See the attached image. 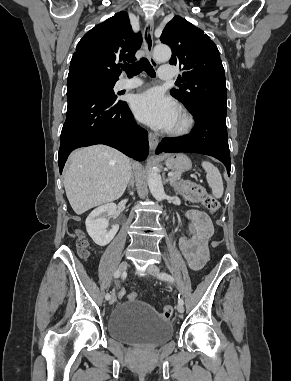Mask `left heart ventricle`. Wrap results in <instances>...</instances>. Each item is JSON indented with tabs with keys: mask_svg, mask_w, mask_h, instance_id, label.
<instances>
[{
	"mask_svg": "<svg viewBox=\"0 0 291 381\" xmlns=\"http://www.w3.org/2000/svg\"><path fill=\"white\" fill-rule=\"evenodd\" d=\"M178 122H179V116L177 117L176 122H175V124L173 125V127L176 126V125L178 124Z\"/></svg>",
	"mask_w": 291,
	"mask_h": 381,
	"instance_id": "1",
	"label": "left heart ventricle"
}]
</instances>
